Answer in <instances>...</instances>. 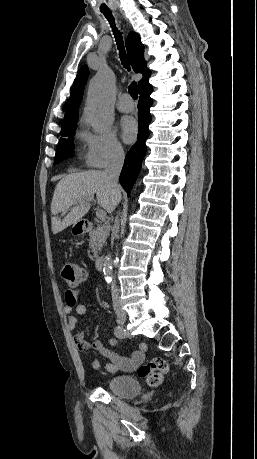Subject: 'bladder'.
Returning a JSON list of instances; mask_svg holds the SVG:
<instances>
[{
    "instance_id": "bladder-1",
    "label": "bladder",
    "mask_w": 257,
    "mask_h": 459,
    "mask_svg": "<svg viewBox=\"0 0 257 459\" xmlns=\"http://www.w3.org/2000/svg\"><path fill=\"white\" fill-rule=\"evenodd\" d=\"M106 390L121 398H132L142 393L138 380L130 375H116L106 383Z\"/></svg>"
}]
</instances>
